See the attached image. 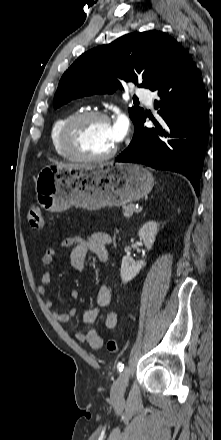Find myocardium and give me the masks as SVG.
Masks as SVG:
<instances>
[{
	"label": "myocardium",
	"instance_id": "myocardium-1",
	"mask_svg": "<svg viewBox=\"0 0 221 440\" xmlns=\"http://www.w3.org/2000/svg\"><path fill=\"white\" fill-rule=\"evenodd\" d=\"M90 118H99L111 123L108 114L100 110H83L74 114L66 121L61 131V145L63 150L70 159L75 161L101 162L111 159L117 153V144L107 153L97 156L87 155L77 148L75 144V132L83 121Z\"/></svg>",
	"mask_w": 221,
	"mask_h": 440
}]
</instances>
